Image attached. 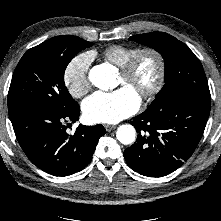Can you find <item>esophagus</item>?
Masks as SVG:
<instances>
[{"mask_svg":"<svg viewBox=\"0 0 221 221\" xmlns=\"http://www.w3.org/2000/svg\"><path fill=\"white\" fill-rule=\"evenodd\" d=\"M104 127L107 132H111L112 130H114L116 128L115 126L109 125V124L104 125Z\"/></svg>","mask_w":221,"mask_h":221,"instance_id":"esophagus-1","label":"esophagus"}]
</instances>
